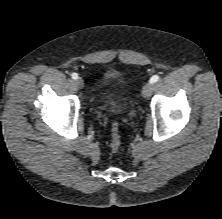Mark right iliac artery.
I'll return each mask as SVG.
<instances>
[{
    "label": "right iliac artery",
    "mask_w": 222,
    "mask_h": 219,
    "mask_svg": "<svg viewBox=\"0 0 222 219\" xmlns=\"http://www.w3.org/2000/svg\"><path fill=\"white\" fill-rule=\"evenodd\" d=\"M71 77H72V79L76 80L78 78V74L77 73H72Z\"/></svg>",
    "instance_id": "obj_1"
}]
</instances>
